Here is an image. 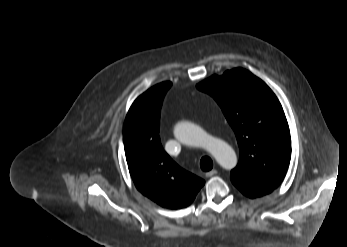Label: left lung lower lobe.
Wrapping results in <instances>:
<instances>
[{
    "mask_svg": "<svg viewBox=\"0 0 347 247\" xmlns=\"http://www.w3.org/2000/svg\"><path fill=\"white\" fill-rule=\"evenodd\" d=\"M244 195L250 197V198H255V197H260L263 195H266L268 193H271L274 189H264V188H257L253 186H249L247 184L238 182V181H233L232 182Z\"/></svg>",
    "mask_w": 347,
    "mask_h": 247,
    "instance_id": "0a47b994",
    "label": "left lung lower lobe"
}]
</instances>
